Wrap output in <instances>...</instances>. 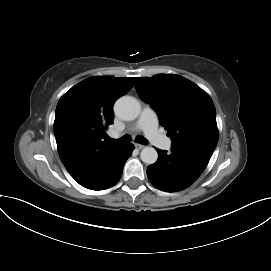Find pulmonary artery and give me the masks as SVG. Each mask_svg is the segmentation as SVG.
<instances>
[{"mask_svg":"<svg viewBox=\"0 0 271 271\" xmlns=\"http://www.w3.org/2000/svg\"><path fill=\"white\" fill-rule=\"evenodd\" d=\"M135 129L143 131L146 137L159 148L165 150L171 148L170 139L158 131V117L152 108L145 107L142 110L140 117L136 122ZM114 135L116 136L117 134Z\"/></svg>","mask_w":271,"mask_h":271,"instance_id":"obj_1","label":"pulmonary artery"}]
</instances>
